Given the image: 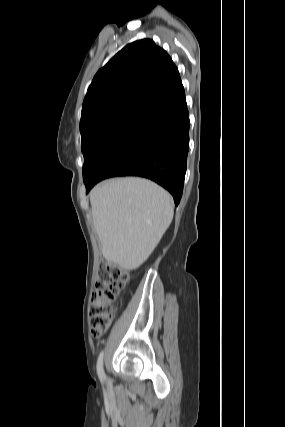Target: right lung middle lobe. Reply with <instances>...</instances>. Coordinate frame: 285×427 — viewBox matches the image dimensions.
I'll use <instances>...</instances> for the list:
<instances>
[{"label":"right lung middle lobe","instance_id":"dd1d6c3e","mask_svg":"<svg viewBox=\"0 0 285 427\" xmlns=\"http://www.w3.org/2000/svg\"><path fill=\"white\" fill-rule=\"evenodd\" d=\"M144 108L131 106L95 118L80 127L84 154L83 180H90Z\"/></svg>","mask_w":285,"mask_h":427}]
</instances>
